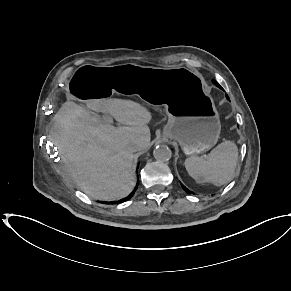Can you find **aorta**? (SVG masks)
<instances>
[{"label": "aorta", "mask_w": 291, "mask_h": 291, "mask_svg": "<svg viewBox=\"0 0 291 291\" xmlns=\"http://www.w3.org/2000/svg\"><path fill=\"white\" fill-rule=\"evenodd\" d=\"M153 155L156 160L166 162L171 158L172 152L167 145H160L154 149Z\"/></svg>", "instance_id": "obj_1"}]
</instances>
